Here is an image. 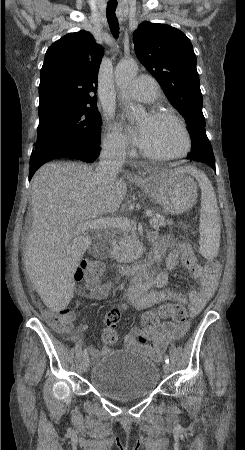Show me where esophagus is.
I'll return each instance as SVG.
<instances>
[{
	"label": "esophagus",
	"instance_id": "34e87169",
	"mask_svg": "<svg viewBox=\"0 0 245 450\" xmlns=\"http://www.w3.org/2000/svg\"><path fill=\"white\" fill-rule=\"evenodd\" d=\"M130 177H131V179H134V180L139 179V176H138L137 174H135V173H132V174L130 175Z\"/></svg>",
	"mask_w": 245,
	"mask_h": 450
}]
</instances>
